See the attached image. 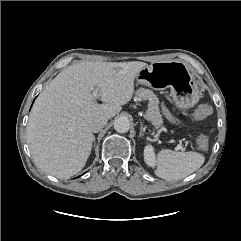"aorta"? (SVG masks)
Listing matches in <instances>:
<instances>
[{
  "instance_id": "762f6f07",
  "label": "aorta",
  "mask_w": 241,
  "mask_h": 241,
  "mask_svg": "<svg viewBox=\"0 0 241 241\" xmlns=\"http://www.w3.org/2000/svg\"><path fill=\"white\" fill-rule=\"evenodd\" d=\"M114 129L118 133H126L130 129V122L125 117H119L114 122Z\"/></svg>"
}]
</instances>
